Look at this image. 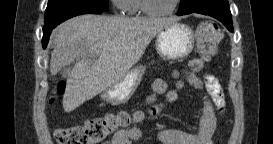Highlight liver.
<instances>
[{
	"label": "liver",
	"mask_w": 273,
	"mask_h": 144,
	"mask_svg": "<svg viewBox=\"0 0 273 144\" xmlns=\"http://www.w3.org/2000/svg\"><path fill=\"white\" fill-rule=\"evenodd\" d=\"M176 20L87 14L57 27L52 33L51 75L76 61L66 83L64 111L75 110L122 80L156 34Z\"/></svg>",
	"instance_id": "obj_1"
}]
</instances>
